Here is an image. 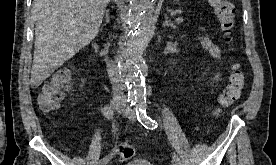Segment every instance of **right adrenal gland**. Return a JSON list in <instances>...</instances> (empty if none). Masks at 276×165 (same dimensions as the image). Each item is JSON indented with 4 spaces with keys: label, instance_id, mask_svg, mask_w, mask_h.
<instances>
[{
    "label": "right adrenal gland",
    "instance_id": "1",
    "mask_svg": "<svg viewBox=\"0 0 276 165\" xmlns=\"http://www.w3.org/2000/svg\"><path fill=\"white\" fill-rule=\"evenodd\" d=\"M110 22V18H109V9L106 10L105 12V24L103 26H105L106 24H108ZM102 26V27H103Z\"/></svg>",
    "mask_w": 276,
    "mask_h": 165
}]
</instances>
